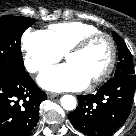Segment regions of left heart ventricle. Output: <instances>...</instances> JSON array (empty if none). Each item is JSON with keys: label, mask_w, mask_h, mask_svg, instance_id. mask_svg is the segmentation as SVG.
Instances as JSON below:
<instances>
[{"label": "left heart ventricle", "mask_w": 136, "mask_h": 136, "mask_svg": "<svg viewBox=\"0 0 136 136\" xmlns=\"http://www.w3.org/2000/svg\"><path fill=\"white\" fill-rule=\"evenodd\" d=\"M110 57L109 41L102 37L94 41L83 52L68 56L66 61L75 65L90 82L106 69Z\"/></svg>", "instance_id": "b2bd125f"}]
</instances>
